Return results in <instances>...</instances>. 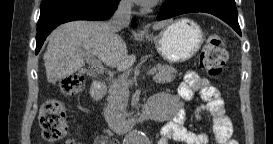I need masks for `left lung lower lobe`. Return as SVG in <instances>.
Segmentation results:
<instances>
[{
    "label": "left lung lower lobe",
    "mask_w": 273,
    "mask_h": 144,
    "mask_svg": "<svg viewBox=\"0 0 273 144\" xmlns=\"http://www.w3.org/2000/svg\"><path fill=\"white\" fill-rule=\"evenodd\" d=\"M189 12L213 14L225 21L241 35L234 0H165L157 20H164Z\"/></svg>",
    "instance_id": "0a47b994"
}]
</instances>
